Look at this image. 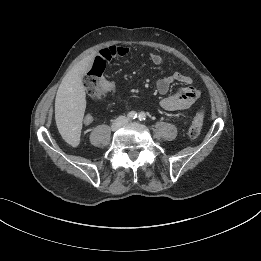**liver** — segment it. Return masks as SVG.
<instances>
[{
	"instance_id": "obj_1",
	"label": "liver",
	"mask_w": 261,
	"mask_h": 261,
	"mask_svg": "<svg viewBox=\"0 0 261 261\" xmlns=\"http://www.w3.org/2000/svg\"><path fill=\"white\" fill-rule=\"evenodd\" d=\"M94 57L87 56L64 76L55 98V120L63 136L80 130L86 108V94L82 75L87 73Z\"/></svg>"
}]
</instances>
